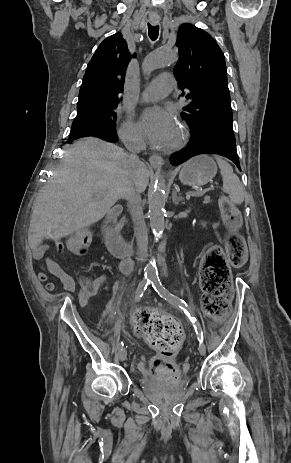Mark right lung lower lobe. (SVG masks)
Masks as SVG:
<instances>
[{"instance_id":"right-lung-lower-lobe-1","label":"right lung lower lobe","mask_w":291,"mask_h":463,"mask_svg":"<svg viewBox=\"0 0 291 463\" xmlns=\"http://www.w3.org/2000/svg\"><path fill=\"white\" fill-rule=\"evenodd\" d=\"M92 137H97V138L106 140L108 142H116V141H118L117 134H97V135H92ZM70 142H72V141H69L68 143H70Z\"/></svg>"}]
</instances>
